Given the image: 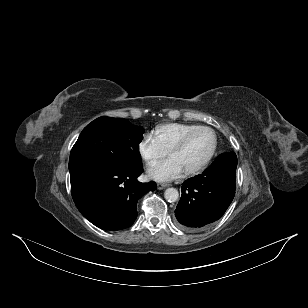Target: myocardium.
<instances>
[{
  "label": "myocardium",
  "mask_w": 308,
  "mask_h": 308,
  "mask_svg": "<svg viewBox=\"0 0 308 308\" xmlns=\"http://www.w3.org/2000/svg\"><path fill=\"white\" fill-rule=\"evenodd\" d=\"M201 130H207L209 132H211L212 136H213V146L211 148L210 153L208 154L207 158L198 166L185 170V174L186 175H194V174H198L202 171H204L212 162L216 151H217V147H218V137L216 132L208 126H198L190 131H188L187 133H185L174 145H172L169 150H168V154L170 155L172 152L177 151L182 149L186 143L188 142V140L197 132L201 131Z\"/></svg>",
  "instance_id": "myocardium-1"
}]
</instances>
